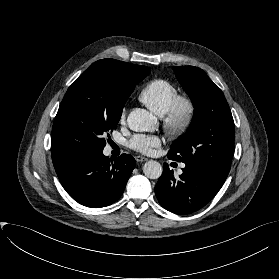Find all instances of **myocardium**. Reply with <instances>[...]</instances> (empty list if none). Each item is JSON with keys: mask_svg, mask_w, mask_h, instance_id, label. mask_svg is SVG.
I'll use <instances>...</instances> for the list:
<instances>
[{"mask_svg": "<svg viewBox=\"0 0 279 279\" xmlns=\"http://www.w3.org/2000/svg\"><path fill=\"white\" fill-rule=\"evenodd\" d=\"M197 113L195 101L187 95H177L163 116V127L171 136H181L193 124Z\"/></svg>", "mask_w": 279, "mask_h": 279, "instance_id": "f54148a6", "label": "myocardium"}]
</instances>
